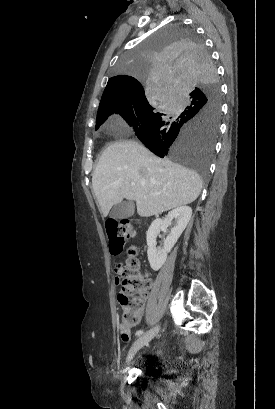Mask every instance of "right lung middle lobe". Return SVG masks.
<instances>
[{
  "label": "right lung middle lobe",
  "instance_id": "right-lung-middle-lobe-1",
  "mask_svg": "<svg viewBox=\"0 0 275 409\" xmlns=\"http://www.w3.org/2000/svg\"><path fill=\"white\" fill-rule=\"evenodd\" d=\"M113 73L141 79L154 96H134L97 113L95 130L119 113L155 155L209 176L220 120V87L210 50L191 24H165L137 50L113 64ZM199 188L204 184L199 183Z\"/></svg>",
  "mask_w": 275,
  "mask_h": 409
}]
</instances>
